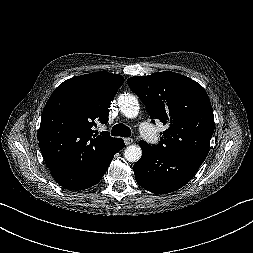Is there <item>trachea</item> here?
I'll return each mask as SVG.
<instances>
[{"label":"trachea","mask_w":253,"mask_h":253,"mask_svg":"<svg viewBox=\"0 0 253 253\" xmlns=\"http://www.w3.org/2000/svg\"><path fill=\"white\" fill-rule=\"evenodd\" d=\"M111 135L112 136L129 137L131 135V129L128 126H126L122 123H119V124H116L112 128Z\"/></svg>","instance_id":"1"}]
</instances>
